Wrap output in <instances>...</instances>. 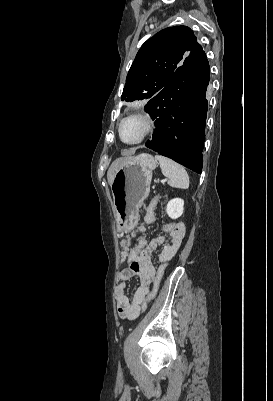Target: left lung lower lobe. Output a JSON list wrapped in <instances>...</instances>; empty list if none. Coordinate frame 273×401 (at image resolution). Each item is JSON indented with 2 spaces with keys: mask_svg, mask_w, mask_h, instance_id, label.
Instances as JSON below:
<instances>
[{
  "mask_svg": "<svg viewBox=\"0 0 273 401\" xmlns=\"http://www.w3.org/2000/svg\"><path fill=\"white\" fill-rule=\"evenodd\" d=\"M210 67L196 42L166 86L145 106L156 130L146 147L201 173Z\"/></svg>",
  "mask_w": 273,
  "mask_h": 401,
  "instance_id": "left-lung-lower-lobe-1",
  "label": "left lung lower lobe"
}]
</instances>
